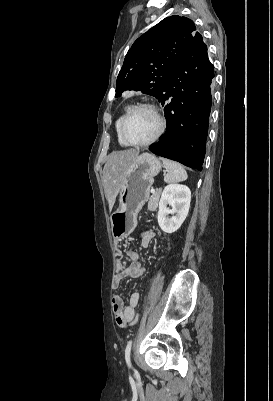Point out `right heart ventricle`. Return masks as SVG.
I'll use <instances>...</instances> for the list:
<instances>
[{"instance_id":"e07e8e85","label":"right heart ventricle","mask_w":273,"mask_h":401,"mask_svg":"<svg viewBox=\"0 0 273 401\" xmlns=\"http://www.w3.org/2000/svg\"><path fill=\"white\" fill-rule=\"evenodd\" d=\"M132 108V105L130 104H123L119 110V113L117 115L116 121H115V132H116V136H117V140L120 146L122 147H128L127 144H125L121 137H120V133H119V128H120V123L122 121V119L124 118V116L128 113V111Z\"/></svg>"}]
</instances>
